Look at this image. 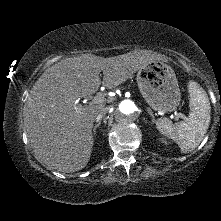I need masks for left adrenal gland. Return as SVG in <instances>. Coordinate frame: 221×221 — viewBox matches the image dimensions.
<instances>
[{
    "label": "left adrenal gland",
    "mask_w": 221,
    "mask_h": 221,
    "mask_svg": "<svg viewBox=\"0 0 221 221\" xmlns=\"http://www.w3.org/2000/svg\"><path fill=\"white\" fill-rule=\"evenodd\" d=\"M148 114L152 117V122H154V114L151 109H147Z\"/></svg>",
    "instance_id": "1"
}]
</instances>
